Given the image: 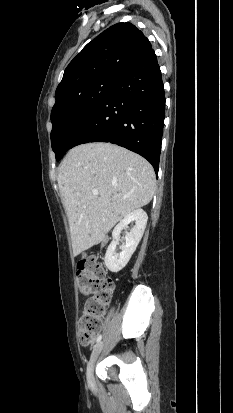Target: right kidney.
I'll list each match as a JSON object with an SVG mask.
<instances>
[{"instance_id":"1","label":"right kidney","mask_w":233,"mask_h":413,"mask_svg":"<svg viewBox=\"0 0 233 413\" xmlns=\"http://www.w3.org/2000/svg\"><path fill=\"white\" fill-rule=\"evenodd\" d=\"M147 220L148 216L146 212L142 209H136L125 216L119 224L115 226L112 232L113 240L108 246L104 258L105 265L111 272H119L127 265L143 236ZM132 222H135V228L126 234L125 242L121 248L122 251L116 253V246L121 231Z\"/></svg>"}]
</instances>
